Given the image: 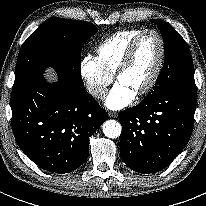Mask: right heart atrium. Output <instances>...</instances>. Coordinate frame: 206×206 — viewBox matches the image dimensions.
Masks as SVG:
<instances>
[{"mask_svg":"<svg viewBox=\"0 0 206 206\" xmlns=\"http://www.w3.org/2000/svg\"><path fill=\"white\" fill-rule=\"evenodd\" d=\"M80 74L85 82L88 93L94 99H102L113 81V76L108 74L96 57L85 56L80 65Z\"/></svg>","mask_w":206,"mask_h":206,"instance_id":"right-heart-atrium-1","label":"right heart atrium"}]
</instances>
